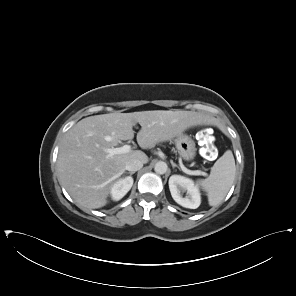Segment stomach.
Returning <instances> with one entry per match:
<instances>
[{
    "label": "stomach",
    "instance_id": "stomach-1",
    "mask_svg": "<svg viewBox=\"0 0 296 296\" xmlns=\"http://www.w3.org/2000/svg\"><path fill=\"white\" fill-rule=\"evenodd\" d=\"M179 155L186 161H191L196 155L195 142L186 134H180L175 139Z\"/></svg>",
    "mask_w": 296,
    "mask_h": 296
}]
</instances>
